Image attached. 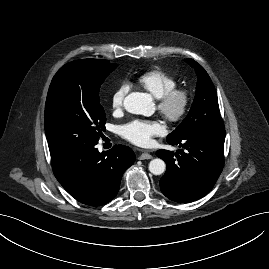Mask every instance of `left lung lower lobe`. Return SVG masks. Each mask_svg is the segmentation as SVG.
Wrapping results in <instances>:
<instances>
[{
	"label": "left lung lower lobe",
	"mask_w": 269,
	"mask_h": 269,
	"mask_svg": "<svg viewBox=\"0 0 269 269\" xmlns=\"http://www.w3.org/2000/svg\"><path fill=\"white\" fill-rule=\"evenodd\" d=\"M225 129L198 128L176 141H167L186 149L175 155L158 150L156 155L167 165L160 179L162 193L172 201L186 203L205 196L214 186L224 166ZM179 153L181 155H179Z\"/></svg>",
	"instance_id": "left-lung-lower-lobe-1"
}]
</instances>
